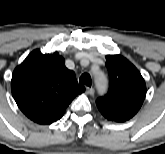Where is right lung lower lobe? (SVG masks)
Returning a JSON list of instances; mask_svg holds the SVG:
<instances>
[{
  "label": "right lung lower lobe",
  "instance_id": "obj_1",
  "mask_svg": "<svg viewBox=\"0 0 165 154\" xmlns=\"http://www.w3.org/2000/svg\"><path fill=\"white\" fill-rule=\"evenodd\" d=\"M67 106H64L61 109H59V110H57L55 112H52L50 114L44 115L42 117H39V118H37V119H35L33 121H35L36 123H39V124H50V123H53V122L59 120L63 116Z\"/></svg>",
  "mask_w": 165,
  "mask_h": 154
}]
</instances>
